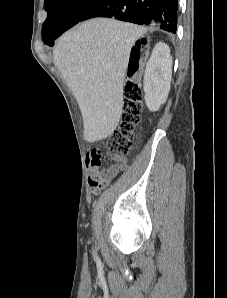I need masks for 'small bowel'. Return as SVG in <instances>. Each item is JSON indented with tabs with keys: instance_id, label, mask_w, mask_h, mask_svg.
Segmentation results:
<instances>
[{
	"instance_id": "obj_1",
	"label": "small bowel",
	"mask_w": 227,
	"mask_h": 298,
	"mask_svg": "<svg viewBox=\"0 0 227 298\" xmlns=\"http://www.w3.org/2000/svg\"><path fill=\"white\" fill-rule=\"evenodd\" d=\"M85 157L87 158L88 166L91 168L90 186L94 192H97L119 172L125 170L128 165L127 159L119 155H113L112 158L115 163L107 169L100 170L101 152L97 146H90ZM93 182H97L98 186H92Z\"/></svg>"
}]
</instances>
